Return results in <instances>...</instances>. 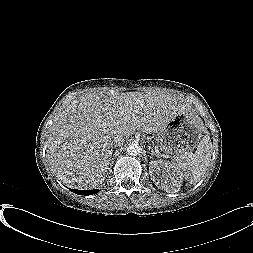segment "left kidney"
Returning <instances> with one entry per match:
<instances>
[{"instance_id":"left-kidney-1","label":"left kidney","mask_w":253,"mask_h":253,"mask_svg":"<svg viewBox=\"0 0 253 253\" xmlns=\"http://www.w3.org/2000/svg\"><path fill=\"white\" fill-rule=\"evenodd\" d=\"M150 164L153 182L160 189L166 192H177L180 189L183 177L168 162L158 160L152 161Z\"/></svg>"}]
</instances>
